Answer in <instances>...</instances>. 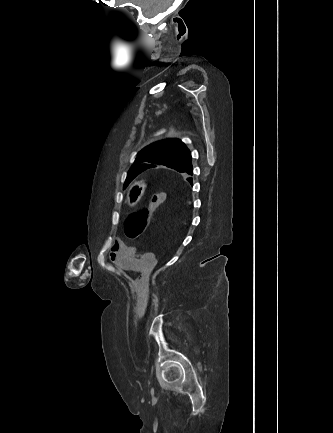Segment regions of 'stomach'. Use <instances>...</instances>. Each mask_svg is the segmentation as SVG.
I'll use <instances>...</instances> for the list:
<instances>
[{
    "label": "stomach",
    "instance_id": "stomach-1",
    "mask_svg": "<svg viewBox=\"0 0 333 433\" xmlns=\"http://www.w3.org/2000/svg\"><path fill=\"white\" fill-rule=\"evenodd\" d=\"M131 189V204L129 203L128 200V205L130 207H135L141 200V198L143 197L145 190H146V184L144 181H138L135 182L130 188ZM129 193V191H128Z\"/></svg>",
    "mask_w": 333,
    "mask_h": 433
}]
</instances>
